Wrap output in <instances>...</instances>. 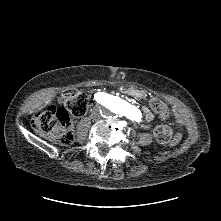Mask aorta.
Masks as SVG:
<instances>
[{
  "label": "aorta",
  "mask_w": 221,
  "mask_h": 221,
  "mask_svg": "<svg viewBox=\"0 0 221 221\" xmlns=\"http://www.w3.org/2000/svg\"><path fill=\"white\" fill-rule=\"evenodd\" d=\"M124 115L133 121H139L141 113L136 109L126 108L124 109Z\"/></svg>",
  "instance_id": "aorta-1"
}]
</instances>
